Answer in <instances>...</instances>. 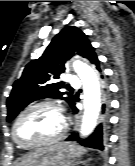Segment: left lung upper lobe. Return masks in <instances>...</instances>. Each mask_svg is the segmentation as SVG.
Wrapping results in <instances>:
<instances>
[{
	"label": "left lung upper lobe",
	"mask_w": 135,
	"mask_h": 166,
	"mask_svg": "<svg viewBox=\"0 0 135 166\" xmlns=\"http://www.w3.org/2000/svg\"><path fill=\"white\" fill-rule=\"evenodd\" d=\"M76 54L90 62L96 57L87 35L77 27H65L51 40L39 59L27 64L21 78L13 84L7 99V121H12L24 107L38 99H64L71 106L75 97L61 92L60 89L68 86L57 79L64 72L67 60ZM65 94L67 96L63 97Z\"/></svg>",
	"instance_id": "1"
}]
</instances>
